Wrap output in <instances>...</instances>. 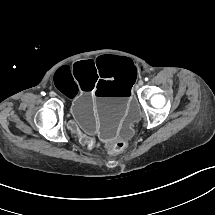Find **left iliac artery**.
Returning a JSON list of instances; mask_svg holds the SVG:
<instances>
[{
    "mask_svg": "<svg viewBox=\"0 0 215 215\" xmlns=\"http://www.w3.org/2000/svg\"><path fill=\"white\" fill-rule=\"evenodd\" d=\"M148 80H149L148 77H146V78H145V81H148Z\"/></svg>",
    "mask_w": 215,
    "mask_h": 215,
    "instance_id": "obj_1",
    "label": "left iliac artery"
}]
</instances>
